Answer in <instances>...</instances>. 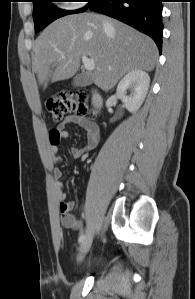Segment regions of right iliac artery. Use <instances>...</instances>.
I'll return each instance as SVG.
<instances>
[{
	"label": "right iliac artery",
	"mask_w": 195,
	"mask_h": 299,
	"mask_svg": "<svg viewBox=\"0 0 195 299\" xmlns=\"http://www.w3.org/2000/svg\"><path fill=\"white\" fill-rule=\"evenodd\" d=\"M84 237H85L84 234H81V235H80V237H79V239H78L79 243H81V242L84 240Z\"/></svg>",
	"instance_id": "82829eb1"
}]
</instances>
